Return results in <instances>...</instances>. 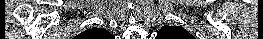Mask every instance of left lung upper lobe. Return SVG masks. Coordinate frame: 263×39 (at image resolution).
<instances>
[{"label":"left lung upper lobe","mask_w":263,"mask_h":39,"mask_svg":"<svg viewBox=\"0 0 263 39\" xmlns=\"http://www.w3.org/2000/svg\"><path fill=\"white\" fill-rule=\"evenodd\" d=\"M157 39H195L187 30L180 26L165 25L157 33Z\"/></svg>","instance_id":"1"}]
</instances>
